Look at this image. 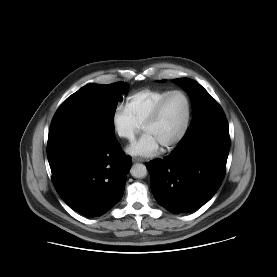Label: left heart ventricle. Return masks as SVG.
<instances>
[{"instance_id":"1","label":"left heart ventricle","mask_w":277,"mask_h":277,"mask_svg":"<svg viewBox=\"0 0 277 277\" xmlns=\"http://www.w3.org/2000/svg\"><path fill=\"white\" fill-rule=\"evenodd\" d=\"M187 115V103L180 94H175L166 102L157 122L148 126L145 132L150 133L164 146L175 139L181 132Z\"/></svg>"}]
</instances>
